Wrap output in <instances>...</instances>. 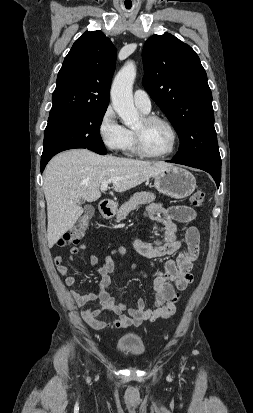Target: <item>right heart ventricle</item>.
<instances>
[{
	"label": "right heart ventricle",
	"mask_w": 253,
	"mask_h": 413,
	"mask_svg": "<svg viewBox=\"0 0 253 413\" xmlns=\"http://www.w3.org/2000/svg\"><path fill=\"white\" fill-rule=\"evenodd\" d=\"M129 132H130V141H129V144L126 150H128L130 153H135L136 149H135L134 134H133V131L131 130H129Z\"/></svg>",
	"instance_id": "obj_1"
}]
</instances>
